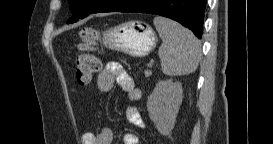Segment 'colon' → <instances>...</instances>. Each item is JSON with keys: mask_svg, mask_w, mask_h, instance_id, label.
Masks as SVG:
<instances>
[{"mask_svg": "<svg viewBox=\"0 0 273 144\" xmlns=\"http://www.w3.org/2000/svg\"><path fill=\"white\" fill-rule=\"evenodd\" d=\"M81 38L80 53L75 60L76 79L80 85H87L91 83L100 68V61L92 52L96 32L93 29H85L81 33Z\"/></svg>", "mask_w": 273, "mask_h": 144, "instance_id": "5ec220e1", "label": "colon"}]
</instances>
